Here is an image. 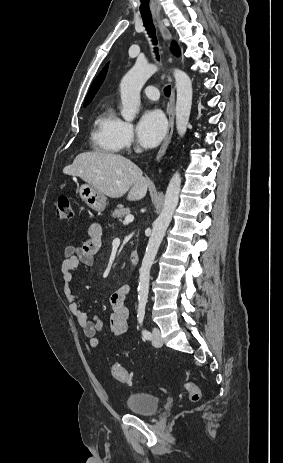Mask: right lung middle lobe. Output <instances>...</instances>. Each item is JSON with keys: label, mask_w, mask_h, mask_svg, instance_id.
Here are the masks:
<instances>
[{"label": "right lung middle lobe", "mask_w": 283, "mask_h": 463, "mask_svg": "<svg viewBox=\"0 0 283 463\" xmlns=\"http://www.w3.org/2000/svg\"><path fill=\"white\" fill-rule=\"evenodd\" d=\"M87 105H88V103H85V104H84V107L87 106Z\"/></svg>", "instance_id": "dd1d6c3e"}]
</instances>
